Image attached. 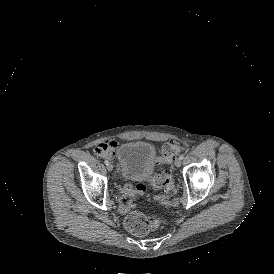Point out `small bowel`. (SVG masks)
<instances>
[{"mask_svg":"<svg viewBox=\"0 0 274 274\" xmlns=\"http://www.w3.org/2000/svg\"><path fill=\"white\" fill-rule=\"evenodd\" d=\"M118 148V143L113 140L99 142L94 146V153L105 159H112L115 157Z\"/></svg>","mask_w":274,"mask_h":274,"instance_id":"small-bowel-1","label":"small bowel"}]
</instances>
